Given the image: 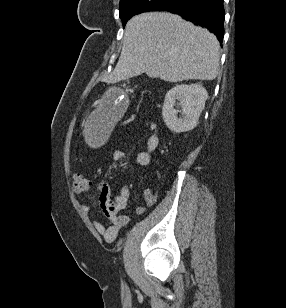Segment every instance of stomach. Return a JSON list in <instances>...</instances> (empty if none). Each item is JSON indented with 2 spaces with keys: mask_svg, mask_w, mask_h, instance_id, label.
<instances>
[{
  "mask_svg": "<svg viewBox=\"0 0 286 308\" xmlns=\"http://www.w3.org/2000/svg\"><path fill=\"white\" fill-rule=\"evenodd\" d=\"M127 103L124 89L115 85L112 89H103L98 98L96 109H89L88 122H85L86 142H107L108 130L119 124L120 110H125Z\"/></svg>",
  "mask_w": 286,
  "mask_h": 308,
  "instance_id": "0dacf381",
  "label": "stomach"
}]
</instances>
